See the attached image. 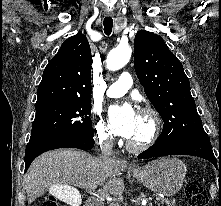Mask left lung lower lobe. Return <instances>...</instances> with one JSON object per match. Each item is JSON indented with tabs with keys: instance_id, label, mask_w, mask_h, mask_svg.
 <instances>
[{
	"instance_id": "0a47b994",
	"label": "left lung lower lobe",
	"mask_w": 221,
	"mask_h": 206,
	"mask_svg": "<svg viewBox=\"0 0 221 206\" xmlns=\"http://www.w3.org/2000/svg\"><path fill=\"white\" fill-rule=\"evenodd\" d=\"M165 155H192L207 159L217 168V160L214 156L209 140L185 139L170 142H155L150 148L138 155L139 159H148ZM221 172V157L219 159Z\"/></svg>"
}]
</instances>
